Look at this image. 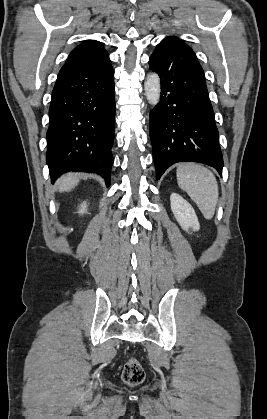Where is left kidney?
<instances>
[{
    "mask_svg": "<svg viewBox=\"0 0 267 419\" xmlns=\"http://www.w3.org/2000/svg\"><path fill=\"white\" fill-rule=\"evenodd\" d=\"M170 202L174 217L184 231L191 232L200 229L196 213L189 202L177 193L171 194Z\"/></svg>",
    "mask_w": 267,
    "mask_h": 419,
    "instance_id": "obj_1",
    "label": "left kidney"
}]
</instances>
